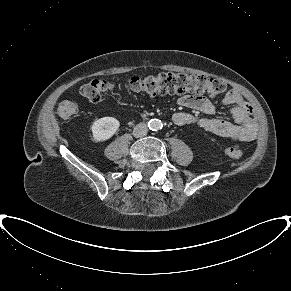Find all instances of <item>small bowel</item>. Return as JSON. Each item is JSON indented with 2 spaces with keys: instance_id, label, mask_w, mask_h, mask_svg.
<instances>
[{
  "instance_id": "c3829d8e",
  "label": "small bowel",
  "mask_w": 291,
  "mask_h": 291,
  "mask_svg": "<svg viewBox=\"0 0 291 291\" xmlns=\"http://www.w3.org/2000/svg\"><path fill=\"white\" fill-rule=\"evenodd\" d=\"M222 104L230 106L232 121L198 118L188 112H176L173 122L178 126L196 125L197 127L215 135L229 138L233 141H251L258 133V126L252 107L245 102L234 90L227 91L222 97ZM181 106L214 114L216 106L201 95H183L178 98Z\"/></svg>"
}]
</instances>
